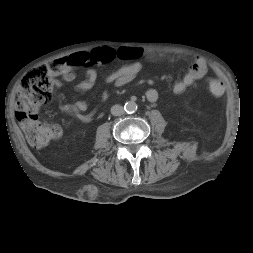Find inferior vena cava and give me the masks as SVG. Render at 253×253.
Returning <instances> with one entry per match:
<instances>
[{
	"label": "inferior vena cava",
	"mask_w": 253,
	"mask_h": 253,
	"mask_svg": "<svg viewBox=\"0 0 253 253\" xmlns=\"http://www.w3.org/2000/svg\"><path fill=\"white\" fill-rule=\"evenodd\" d=\"M111 113H112V115H114V116H121V115L124 114V109H123V107L120 106V105H114V106H112V108H111Z\"/></svg>",
	"instance_id": "602c4592"
}]
</instances>
